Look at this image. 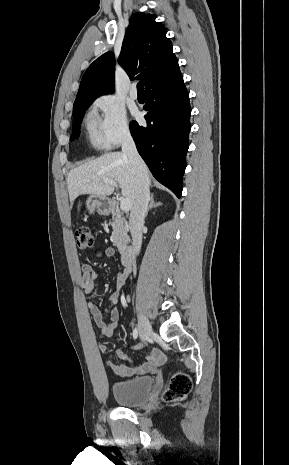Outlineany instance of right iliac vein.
<instances>
[{"label": "right iliac vein", "instance_id": "63e3f726", "mask_svg": "<svg viewBox=\"0 0 289 465\" xmlns=\"http://www.w3.org/2000/svg\"><path fill=\"white\" fill-rule=\"evenodd\" d=\"M138 326L141 340H149L153 335V330L151 328L149 320L144 314H140Z\"/></svg>", "mask_w": 289, "mask_h": 465}]
</instances>
